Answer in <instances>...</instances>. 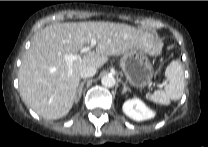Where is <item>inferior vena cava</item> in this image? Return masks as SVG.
<instances>
[{
  "label": "inferior vena cava",
  "mask_w": 208,
  "mask_h": 147,
  "mask_svg": "<svg viewBox=\"0 0 208 147\" xmlns=\"http://www.w3.org/2000/svg\"><path fill=\"white\" fill-rule=\"evenodd\" d=\"M95 73H96V67L89 65L80 70L79 76L81 78H87L94 76Z\"/></svg>",
  "instance_id": "inferior-vena-cava-1"
}]
</instances>
